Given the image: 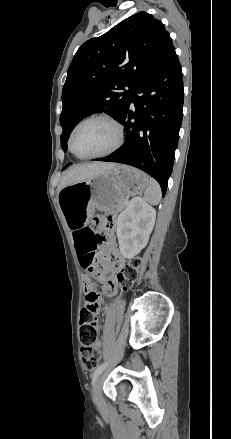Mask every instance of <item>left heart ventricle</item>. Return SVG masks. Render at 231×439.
<instances>
[{
    "instance_id": "1",
    "label": "left heart ventricle",
    "mask_w": 231,
    "mask_h": 439,
    "mask_svg": "<svg viewBox=\"0 0 231 439\" xmlns=\"http://www.w3.org/2000/svg\"><path fill=\"white\" fill-rule=\"evenodd\" d=\"M116 140V131L107 121L94 119L82 124L73 138L74 151L79 155H90L110 148Z\"/></svg>"
}]
</instances>
